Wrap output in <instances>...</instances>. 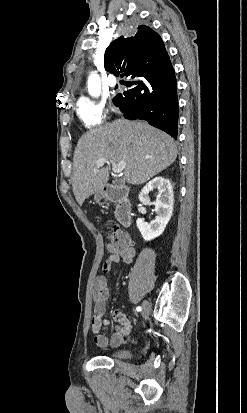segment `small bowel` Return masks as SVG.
I'll list each match as a JSON object with an SVG mask.
<instances>
[{"label": "small bowel", "mask_w": 247, "mask_h": 413, "mask_svg": "<svg viewBox=\"0 0 247 413\" xmlns=\"http://www.w3.org/2000/svg\"><path fill=\"white\" fill-rule=\"evenodd\" d=\"M134 259V250L129 247L121 252H113L109 255L108 259L103 265V272L99 275L93 286V316L91 322V329L94 334V342L98 347H107L109 345L117 347L124 341L125 337L130 332V323L125 310H113L112 315L114 319L120 324L121 329L116 331L110 338V340L101 334L103 326L108 324V320L105 317L107 311V300L110 296L109 282L111 274L114 270L115 264L120 260L125 263H132Z\"/></svg>", "instance_id": "obj_1"}]
</instances>
